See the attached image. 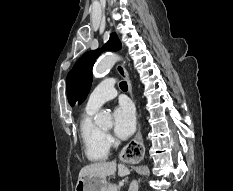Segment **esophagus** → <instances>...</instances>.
<instances>
[{
	"label": "esophagus",
	"instance_id": "34e87169",
	"mask_svg": "<svg viewBox=\"0 0 233 191\" xmlns=\"http://www.w3.org/2000/svg\"><path fill=\"white\" fill-rule=\"evenodd\" d=\"M116 69L119 75L126 80L129 94L132 99H134L132 84L126 69L122 64H117ZM138 156H144V144L139 123L134 138L122 149L120 153V157L123 158V162H125V164H137V162L140 161Z\"/></svg>",
	"mask_w": 233,
	"mask_h": 191
}]
</instances>
